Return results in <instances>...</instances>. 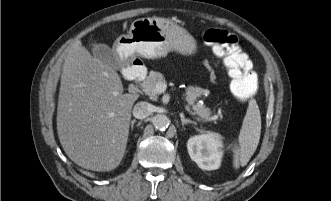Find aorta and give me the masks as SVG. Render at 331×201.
Instances as JSON below:
<instances>
[{"label":"aorta","instance_id":"aorta-1","mask_svg":"<svg viewBox=\"0 0 331 201\" xmlns=\"http://www.w3.org/2000/svg\"><path fill=\"white\" fill-rule=\"evenodd\" d=\"M152 123L156 129L165 130L168 128L170 120L166 115L157 114L153 117Z\"/></svg>","mask_w":331,"mask_h":201}]
</instances>
